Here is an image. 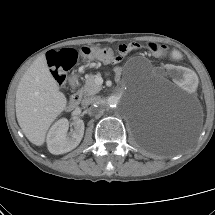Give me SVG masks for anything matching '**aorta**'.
Listing matches in <instances>:
<instances>
[{"label":"aorta","instance_id":"762f6f07","mask_svg":"<svg viewBox=\"0 0 215 215\" xmlns=\"http://www.w3.org/2000/svg\"><path fill=\"white\" fill-rule=\"evenodd\" d=\"M117 103H118V100L116 97H109L106 102L107 106H109V107H115L117 105Z\"/></svg>","mask_w":215,"mask_h":215}]
</instances>
